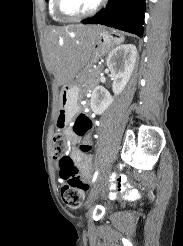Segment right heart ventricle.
<instances>
[{"instance_id":"right-heart-ventricle-1","label":"right heart ventricle","mask_w":183,"mask_h":246,"mask_svg":"<svg viewBox=\"0 0 183 246\" xmlns=\"http://www.w3.org/2000/svg\"><path fill=\"white\" fill-rule=\"evenodd\" d=\"M48 9H49V14L52 17L53 20L55 21H62V19L57 16L54 10V0H49L48 2Z\"/></svg>"}]
</instances>
